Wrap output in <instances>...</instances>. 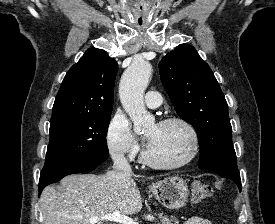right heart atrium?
Returning a JSON list of instances; mask_svg holds the SVG:
<instances>
[{
	"instance_id": "d8ad5b80",
	"label": "right heart atrium",
	"mask_w": 275,
	"mask_h": 224,
	"mask_svg": "<svg viewBox=\"0 0 275 224\" xmlns=\"http://www.w3.org/2000/svg\"><path fill=\"white\" fill-rule=\"evenodd\" d=\"M106 143L113 157L132 160L139 152L128 120L121 114H116L111 119L107 133Z\"/></svg>"
}]
</instances>
